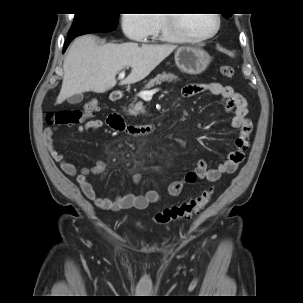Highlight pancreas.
<instances>
[{
    "label": "pancreas",
    "instance_id": "pancreas-1",
    "mask_svg": "<svg viewBox=\"0 0 303 303\" xmlns=\"http://www.w3.org/2000/svg\"><path fill=\"white\" fill-rule=\"evenodd\" d=\"M178 76L173 74V73H162L158 74L156 77L153 79H150L149 82L144 86L143 90H148L155 85H159L162 82H173V81H178ZM139 95L135 96L128 106L127 114L128 115H133L137 116L140 113H143L145 111L142 102L138 101Z\"/></svg>",
    "mask_w": 303,
    "mask_h": 303
}]
</instances>
